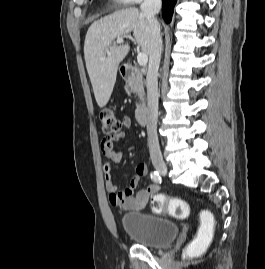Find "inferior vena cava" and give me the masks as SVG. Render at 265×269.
<instances>
[{"instance_id": "1", "label": "inferior vena cava", "mask_w": 265, "mask_h": 269, "mask_svg": "<svg viewBox=\"0 0 265 269\" xmlns=\"http://www.w3.org/2000/svg\"><path fill=\"white\" fill-rule=\"evenodd\" d=\"M162 5L161 0H144L140 9L142 15L148 22L151 33V47L149 53V65L146 77L147 82V136L150 158L152 160H162L158 135H157V119H158V69L160 65L162 52V37L160 33V25L155 15L160 11Z\"/></svg>"}]
</instances>
